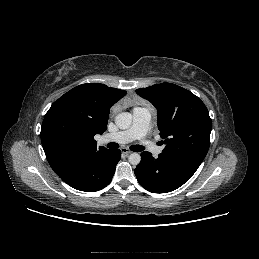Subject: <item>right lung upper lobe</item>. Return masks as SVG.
Masks as SVG:
<instances>
[{
    "label": "right lung upper lobe",
    "instance_id": "obj_1",
    "mask_svg": "<svg viewBox=\"0 0 259 259\" xmlns=\"http://www.w3.org/2000/svg\"><path fill=\"white\" fill-rule=\"evenodd\" d=\"M126 91L100 83L79 85L56 100L46 113L41 127V142L51 168L57 173L68 164L107 151L94 135L106 131L110 108ZM61 129L66 138L52 136Z\"/></svg>",
    "mask_w": 259,
    "mask_h": 259
}]
</instances>
